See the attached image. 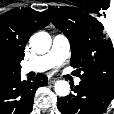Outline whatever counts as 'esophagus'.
Instances as JSON below:
<instances>
[{"instance_id": "obj_1", "label": "esophagus", "mask_w": 114, "mask_h": 114, "mask_svg": "<svg viewBox=\"0 0 114 114\" xmlns=\"http://www.w3.org/2000/svg\"><path fill=\"white\" fill-rule=\"evenodd\" d=\"M48 81H49V83H54L57 81V78L56 77H49Z\"/></svg>"}]
</instances>
